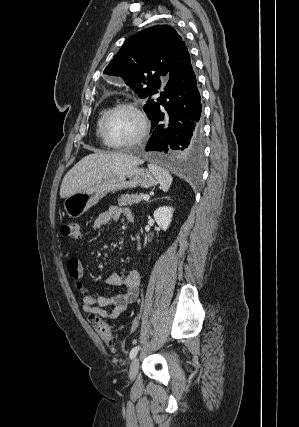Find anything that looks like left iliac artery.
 Segmentation results:
<instances>
[{
  "label": "left iliac artery",
  "instance_id": "obj_1",
  "mask_svg": "<svg viewBox=\"0 0 299 427\" xmlns=\"http://www.w3.org/2000/svg\"><path fill=\"white\" fill-rule=\"evenodd\" d=\"M140 349V347L139 346H136V347H134L131 351H130V359H133L135 356H136V354L138 353V350Z\"/></svg>",
  "mask_w": 299,
  "mask_h": 427
}]
</instances>
